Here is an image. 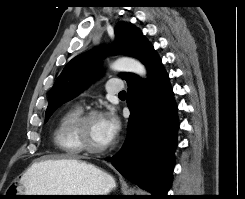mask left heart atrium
<instances>
[{"instance_id": "1", "label": "left heart atrium", "mask_w": 245, "mask_h": 199, "mask_svg": "<svg viewBox=\"0 0 245 199\" xmlns=\"http://www.w3.org/2000/svg\"><path fill=\"white\" fill-rule=\"evenodd\" d=\"M102 123L106 138L111 143L119 132V120L113 112H109L102 116Z\"/></svg>"}]
</instances>
